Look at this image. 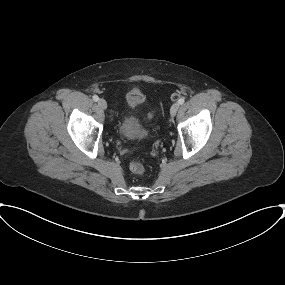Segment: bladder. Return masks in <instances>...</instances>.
Masks as SVG:
<instances>
[{
    "mask_svg": "<svg viewBox=\"0 0 285 285\" xmlns=\"http://www.w3.org/2000/svg\"><path fill=\"white\" fill-rule=\"evenodd\" d=\"M144 94L139 89H132L125 95L126 112L118 125V134L130 141L145 140L149 133L138 121L136 109L144 102Z\"/></svg>",
    "mask_w": 285,
    "mask_h": 285,
    "instance_id": "obj_1",
    "label": "bladder"
}]
</instances>
